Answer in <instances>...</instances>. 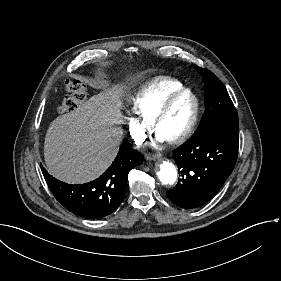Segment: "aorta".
I'll use <instances>...</instances> for the list:
<instances>
[{
  "label": "aorta",
  "instance_id": "762f6f07",
  "mask_svg": "<svg viewBox=\"0 0 281 281\" xmlns=\"http://www.w3.org/2000/svg\"><path fill=\"white\" fill-rule=\"evenodd\" d=\"M159 180L163 185H173L177 179L175 166L167 161L160 164V170L157 173Z\"/></svg>",
  "mask_w": 281,
  "mask_h": 281
}]
</instances>
